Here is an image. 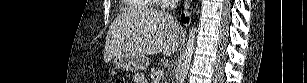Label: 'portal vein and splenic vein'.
<instances>
[{"label":"portal vein and splenic vein","instance_id":"obj_1","mask_svg":"<svg viewBox=\"0 0 307 83\" xmlns=\"http://www.w3.org/2000/svg\"><path fill=\"white\" fill-rule=\"evenodd\" d=\"M164 72L163 71H159L155 80V83L159 82V80L163 77Z\"/></svg>","mask_w":307,"mask_h":83}]
</instances>
